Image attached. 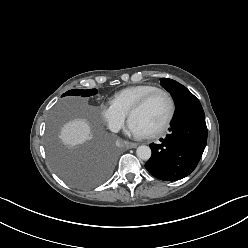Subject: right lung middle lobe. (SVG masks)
<instances>
[{
    "label": "right lung middle lobe",
    "instance_id": "1",
    "mask_svg": "<svg viewBox=\"0 0 248 248\" xmlns=\"http://www.w3.org/2000/svg\"><path fill=\"white\" fill-rule=\"evenodd\" d=\"M96 93V89H72L62 97H88ZM48 153L59 176L80 188L93 187L104 181L110 174L115 159L112 148L101 138H97L87 147L72 149L62 145L53 131L48 136Z\"/></svg>",
    "mask_w": 248,
    "mask_h": 248
}]
</instances>
